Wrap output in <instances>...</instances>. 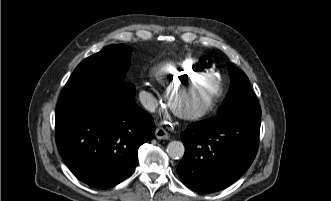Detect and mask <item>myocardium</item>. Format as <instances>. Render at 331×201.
<instances>
[{
  "label": "myocardium",
  "instance_id": "f54148a6",
  "mask_svg": "<svg viewBox=\"0 0 331 201\" xmlns=\"http://www.w3.org/2000/svg\"><path fill=\"white\" fill-rule=\"evenodd\" d=\"M181 80V82H176L167 88L166 99L171 111L184 120H195L209 113L218 102L223 92L222 83L213 74H200ZM201 81L212 84V89L206 98L198 106L191 109L179 107L174 101V92L190 83H198Z\"/></svg>",
  "mask_w": 331,
  "mask_h": 201
}]
</instances>
